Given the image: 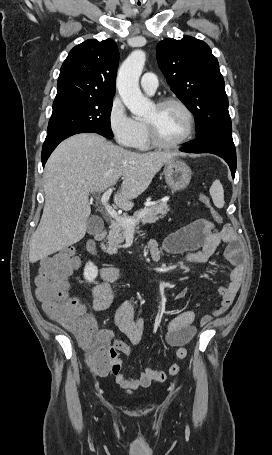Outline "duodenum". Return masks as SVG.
<instances>
[{
	"label": "duodenum",
	"mask_w": 272,
	"mask_h": 455,
	"mask_svg": "<svg viewBox=\"0 0 272 455\" xmlns=\"http://www.w3.org/2000/svg\"><path fill=\"white\" fill-rule=\"evenodd\" d=\"M107 229H102L100 230L99 232H97L89 241H88V244H87V247H88V250L92 253V254H98L99 252V248H98V244L99 242L103 241L106 236H107Z\"/></svg>",
	"instance_id": "410a0bca"
}]
</instances>
